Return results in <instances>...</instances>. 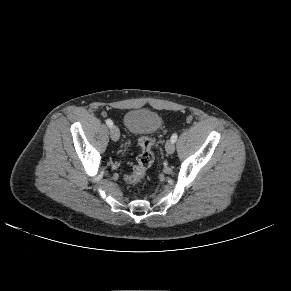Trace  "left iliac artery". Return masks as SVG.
I'll list each match as a JSON object with an SVG mask.
<instances>
[{
  "label": "left iliac artery",
  "instance_id": "1",
  "mask_svg": "<svg viewBox=\"0 0 291 291\" xmlns=\"http://www.w3.org/2000/svg\"><path fill=\"white\" fill-rule=\"evenodd\" d=\"M177 137H178L177 133H174V134L171 136V141H172L173 143H175L176 140H177Z\"/></svg>",
  "mask_w": 291,
  "mask_h": 291
}]
</instances>
